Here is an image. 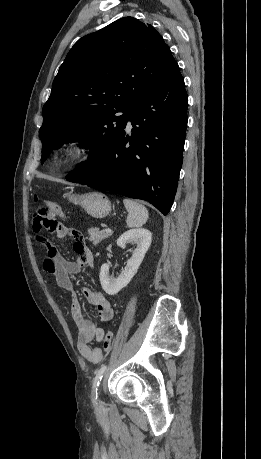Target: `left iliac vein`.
Listing matches in <instances>:
<instances>
[{"instance_id": "1", "label": "left iliac vein", "mask_w": 261, "mask_h": 459, "mask_svg": "<svg viewBox=\"0 0 261 459\" xmlns=\"http://www.w3.org/2000/svg\"><path fill=\"white\" fill-rule=\"evenodd\" d=\"M97 405L100 407L101 406V401L100 399L97 400Z\"/></svg>"}]
</instances>
